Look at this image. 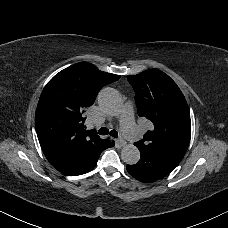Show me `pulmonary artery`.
I'll use <instances>...</instances> for the list:
<instances>
[{"label": "pulmonary artery", "instance_id": "pulmonary-artery-1", "mask_svg": "<svg viewBox=\"0 0 228 228\" xmlns=\"http://www.w3.org/2000/svg\"><path fill=\"white\" fill-rule=\"evenodd\" d=\"M121 118L119 121V127L126 139H137L143 135V128L135 124L132 118V107L130 105H123L121 107ZM136 125V126H135Z\"/></svg>", "mask_w": 228, "mask_h": 228}]
</instances>
